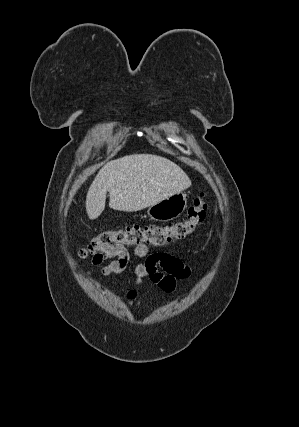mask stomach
Returning <instances> with one entry per match:
<instances>
[{
	"label": "stomach",
	"mask_w": 299,
	"mask_h": 427,
	"mask_svg": "<svg viewBox=\"0 0 299 427\" xmlns=\"http://www.w3.org/2000/svg\"><path fill=\"white\" fill-rule=\"evenodd\" d=\"M186 208V194L179 192L149 206L147 214L152 220L167 222L179 217Z\"/></svg>",
	"instance_id": "1"
}]
</instances>
